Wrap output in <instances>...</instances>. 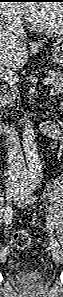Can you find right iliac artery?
I'll return each instance as SVG.
<instances>
[{
    "label": "right iliac artery",
    "instance_id": "obj_1",
    "mask_svg": "<svg viewBox=\"0 0 63 297\" xmlns=\"http://www.w3.org/2000/svg\"><path fill=\"white\" fill-rule=\"evenodd\" d=\"M13 196H15L14 195V193H13V191L11 190V191H9V192H7V201H8V203L11 201V198L13 197ZM4 222L6 223V224H10V222H11V215H12V210H11V208H9V207H7L6 209H5V211H4ZM8 252V248L7 247H5V248H2V250H1V253H0V257L2 256V254L3 253H7Z\"/></svg>",
    "mask_w": 63,
    "mask_h": 297
}]
</instances>
